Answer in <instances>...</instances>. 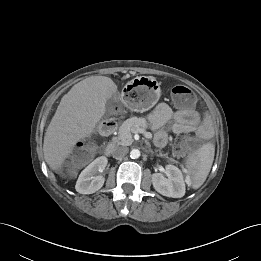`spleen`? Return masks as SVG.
Returning <instances> with one entry per match:
<instances>
[{
  "label": "spleen",
  "mask_w": 261,
  "mask_h": 261,
  "mask_svg": "<svg viewBox=\"0 0 261 261\" xmlns=\"http://www.w3.org/2000/svg\"><path fill=\"white\" fill-rule=\"evenodd\" d=\"M215 147L212 143L202 145L186 162L188 175L186 182L193 189H198L205 182L214 160Z\"/></svg>",
  "instance_id": "3e777b00"
}]
</instances>
